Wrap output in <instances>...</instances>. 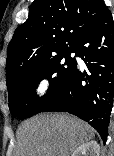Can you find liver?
Listing matches in <instances>:
<instances>
[{"mask_svg": "<svg viewBox=\"0 0 114 156\" xmlns=\"http://www.w3.org/2000/svg\"><path fill=\"white\" fill-rule=\"evenodd\" d=\"M94 136V129L77 117L60 113L39 114L19 127L15 156H70Z\"/></svg>", "mask_w": 114, "mask_h": 156, "instance_id": "6515ba94", "label": "liver"}]
</instances>
